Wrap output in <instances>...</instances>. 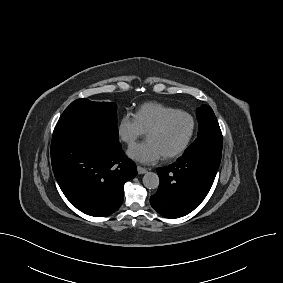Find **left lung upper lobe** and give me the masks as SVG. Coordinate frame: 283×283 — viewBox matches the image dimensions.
<instances>
[{
    "label": "left lung upper lobe",
    "instance_id": "5c2ea615",
    "mask_svg": "<svg viewBox=\"0 0 283 283\" xmlns=\"http://www.w3.org/2000/svg\"><path fill=\"white\" fill-rule=\"evenodd\" d=\"M196 115L199 125L198 137L186 149L184 155L193 152H206L221 158L222 133L212 108L208 105H203L197 109Z\"/></svg>",
    "mask_w": 283,
    "mask_h": 283
}]
</instances>
